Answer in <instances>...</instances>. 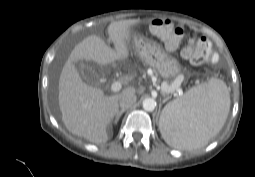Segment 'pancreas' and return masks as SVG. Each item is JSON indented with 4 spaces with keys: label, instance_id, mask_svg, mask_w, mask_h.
I'll return each mask as SVG.
<instances>
[{
    "label": "pancreas",
    "instance_id": "cf45deb5",
    "mask_svg": "<svg viewBox=\"0 0 255 177\" xmlns=\"http://www.w3.org/2000/svg\"><path fill=\"white\" fill-rule=\"evenodd\" d=\"M170 86H174L173 84L172 85H168L166 82H164L163 84H162V91L164 92V88H166V87H170Z\"/></svg>",
    "mask_w": 255,
    "mask_h": 177
}]
</instances>
